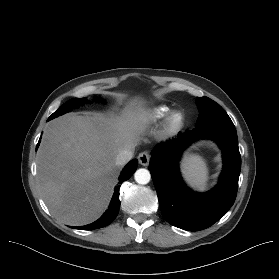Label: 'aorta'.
<instances>
[{
	"label": "aorta",
	"instance_id": "aorta-1",
	"mask_svg": "<svg viewBox=\"0 0 279 279\" xmlns=\"http://www.w3.org/2000/svg\"><path fill=\"white\" fill-rule=\"evenodd\" d=\"M134 179L138 184H147L150 182L151 174L147 169L140 168L134 174Z\"/></svg>",
	"mask_w": 279,
	"mask_h": 279
}]
</instances>
